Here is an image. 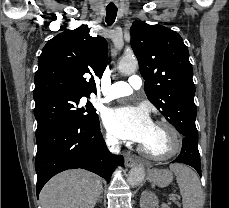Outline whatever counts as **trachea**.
<instances>
[{
    "label": "trachea",
    "mask_w": 229,
    "mask_h": 208,
    "mask_svg": "<svg viewBox=\"0 0 229 208\" xmlns=\"http://www.w3.org/2000/svg\"><path fill=\"white\" fill-rule=\"evenodd\" d=\"M117 7H106V23L110 26L114 23L117 15Z\"/></svg>",
    "instance_id": "3493384b"
}]
</instances>
